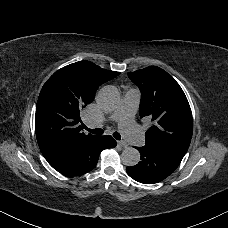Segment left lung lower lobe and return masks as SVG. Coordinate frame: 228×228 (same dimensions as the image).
Instances as JSON below:
<instances>
[{
    "instance_id": "0a47b994",
    "label": "left lung lower lobe",
    "mask_w": 228,
    "mask_h": 228,
    "mask_svg": "<svg viewBox=\"0 0 228 228\" xmlns=\"http://www.w3.org/2000/svg\"><path fill=\"white\" fill-rule=\"evenodd\" d=\"M141 154V161L132 167H127L128 175L134 180L153 184L168 177L180 164L184 155L166 147L146 144L135 147Z\"/></svg>"
}]
</instances>
